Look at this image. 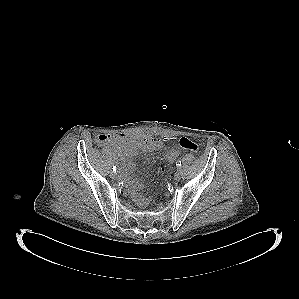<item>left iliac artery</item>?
Segmentation results:
<instances>
[{"label":"left iliac artery","instance_id":"1","mask_svg":"<svg viewBox=\"0 0 299 299\" xmlns=\"http://www.w3.org/2000/svg\"><path fill=\"white\" fill-rule=\"evenodd\" d=\"M176 166H177V167H180V166H181V161H180V160H178V161L176 162Z\"/></svg>","mask_w":299,"mask_h":299}]
</instances>
